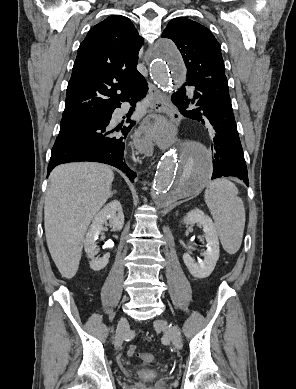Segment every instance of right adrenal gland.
<instances>
[{"instance_id":"right-adrenal-gland-1","label":"right adrenal gland","mask_w":296,"mask_h":389,"mask_svg":"<svg viewBox=\"0 0 296 389\" xmlns=\"http://www.w3.org/2000/svg\"><path fill=\"white\" fill-rule=\"evenodd\" d=\"M116 193H117V191L114 190V191L111 193V197L113 196V194H116Z\"/></svg>"}]
</instances>
